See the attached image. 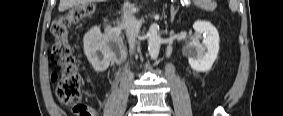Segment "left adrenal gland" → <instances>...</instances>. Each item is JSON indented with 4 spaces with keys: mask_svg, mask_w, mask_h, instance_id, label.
Masks as SVG:
<instances>
[{
    "mask_svg": "<svg viewBox=\"0 0 283 116\" xmlns=\"http://www.w3.org/2000/svg\"><path fill=\"white\" fill-rule=\"evenodd\" d=\"M178 9H175L173 5H171L170 15H171V22L174 21L175 15L177 14Z\"/></svg>",
    "mask_w": 283,
    "mask_h": 116,
    "instance_id": "obj_1",
    "label": "left adrenal gland"
}]
</instances>
